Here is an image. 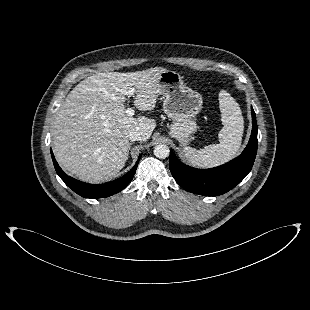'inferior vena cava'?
<instances>
[{"label":"inferior vena cava","instance_id":"1","mask_svg":"<svg viewBox=\"0 0 310 310\" xmlns=\"http://www.w3.org/2000/svg\"><path fill=\"white\" fill-rule=\"evenodd\" d=\"M130 141L142 140V134L138 130H133L128 133Z\"/></svg>","mask_w":310,"mask_h":310}]
</instances>
